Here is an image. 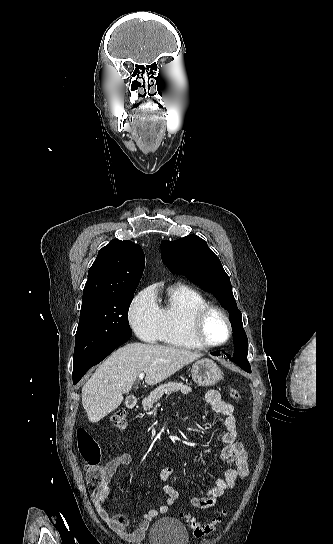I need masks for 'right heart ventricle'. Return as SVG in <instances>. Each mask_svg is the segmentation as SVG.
<instances>
[{
    "label": "right heart ventricle",
    "mask_w": 333,
    "mask_h": 544,
    "mask_svg": "<svg viewBox=\"0 0 333 544\" xmlns=\"http://www.w3.org/2000/svg\"><path fill=\"white\" fill-rule=\"evenodd\" d=\"M209 304L206 297L195 288L175 284L167 289L164 303L159 306L162 317L161 340L168 345L202 349L193 337L192 319L195 312Z\"/></svg>",
    "instance_id": "e07e8e85"
}]
</instances>
